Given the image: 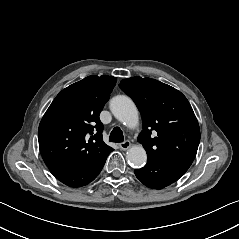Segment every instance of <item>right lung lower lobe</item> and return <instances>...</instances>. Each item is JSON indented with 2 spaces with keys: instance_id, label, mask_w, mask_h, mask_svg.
Instances as JSON below:
<instances>
[{
  "instance_id": "98d812e1",
  "label": "right lung lower lobe",
  "mask_w": 239,
  "mask_h": 239,
  "mask_svg": "<svg viewBox=\"0 0 239 239\" xmlns=\"http://www.w3.org/2000/svg\"><path fill=\"white\" fill-rule=\"evenodd\" d=\"M113 149L87 165L51 166L50 172L63 184L69 187H81L92 182L102 170L107 156Z\"/></svg>"
}]
</instances>
